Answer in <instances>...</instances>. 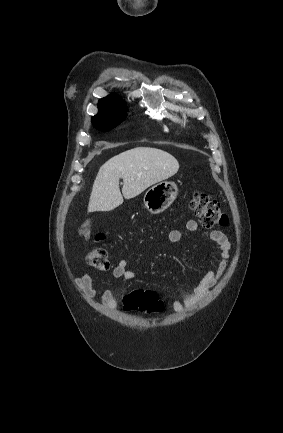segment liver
Returning a JSON list of instances; mask_svg holds the SVG:
<instances>
[{
	"label": "liver",
	"mask_w": 283,
	"mask_h": 433,
	"mask_svg": "<svg viewBox=\"0 0 283 433\" xmlns=\"http://www.w3.org/2000/svg\"><path fill=\"white\" fill-rule=\"evenodd\" d=\"M179 168L175 156L150 146H136L109 158L100 166L92 186L88 212L113 210L124 198H133L145 188L173 176ZM119 178H123L122 196Z\"/></svg>",
	"instance_id": "obj_1"
}]
</instances>
